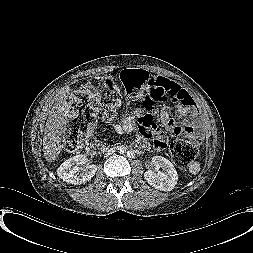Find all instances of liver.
Masks as SVG:
<instances>
[{
  "instance_id": "obj_1",
  "label": "liver",
  "mask_w": 253,
  "mask_h": 253,
  "mask_svg": "<svg viewBox=\"0 0 253 253\" xmlns=\"http://www.w3.org/2000/svg\"><path fill=\"white\" fill-rule=\"evenodd\" d=\"M69 91L68 87L62 88L57 92L51 104L43 139V152L47 162L55 161L63 148L62 136L66 132L68 122L67 110L69 106L67 99Z\"/></svg>"
}]
</instances>
